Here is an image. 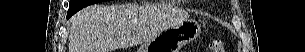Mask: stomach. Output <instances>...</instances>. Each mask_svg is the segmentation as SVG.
<instances>
[{
    "mask_svg": "<svg viewBox=\"0 0 305 52\" xmlns=\"http://www.w3.org/2000/svg\"><path fill=\"white\" fill-rule=\"evenodd\" d=\"M200 33L201 25L197 21L185 20L160 31L137 52H180L184 45L194 41Z\"/></svg>",
    "mask_w": 305,
    "mask_h": 52,
    "instance_id": "obj_1",
    "label": "stomach"
}]
</instances>
